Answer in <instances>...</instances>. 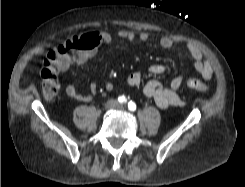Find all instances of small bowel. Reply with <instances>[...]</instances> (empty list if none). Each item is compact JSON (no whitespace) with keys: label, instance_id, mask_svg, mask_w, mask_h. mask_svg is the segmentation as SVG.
<instances>
[{"label":"small bowel","instance_id":"c3829d8e","mask_svg":"<svg viewBox=\"0 0 245 187\" xmlns=\"http://www.w3.org/2000/svg\"><path fill=\"white\" fill-rule=\"evenodd\" d=\"M116 37L128 41H142L146 42L154 37V34L148 31L137 32L134 30L119 29L116 32ZM86 37V48L84 50L78 51L74 55L67 57L65 62L58 65L59 71L63 72L68 70L72 65H82L89 61L94 54L98 46L101 44L111 43L113 40V35L105 31H94L89 33ZM179 41L169 35L162 36L160 38V45L165 49H170L176 45ZM185 47L191 57L194 60L195 70L206 80H209L214 75V70L212 64L209 60L203 58V54L200 49L193 43L187 42ZM49 52L47 57H50ZM165 66L162 64H154L149 68V72L152 75H160L164 73ZM127 84L132 87H138L142 84V75L139 72H132L127 76ZM184 82V76L179 75L175 77L169 86H164L158 81L151 80L148 81L143 86L144 94L153 99L154 102L160 108H168L170 106H182L184 105L183 99L178 94V89ZM113 85L107 83L105 86L106 90H111ZM91 94H84L80 92L75 85L69 84L66 87V94L71 99L77 102H89L93 95L97 92V87L94 83L90 85Z\"/></svg>","mask_w":245,"mask_h":187}]
</instances>
